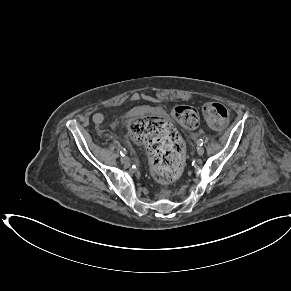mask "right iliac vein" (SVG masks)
Segmentation results:
<instances>
[{"mask_svg":"<svg viewBox=\"0 0 291 291\" xmlns=\"http://www.w3.org/2000/svg\"><path fill=\"white\" fill-rule=\"evenodd\" d=\"M121 162H122L123 164L128 165V164L130 163V159H129L128 156H122V157H121Z\"/></svg>","mask_w":291,"mask_h":291,"instance_id":"right-iliac-vein-1","label":"right iliac vein"}]
</instances>
